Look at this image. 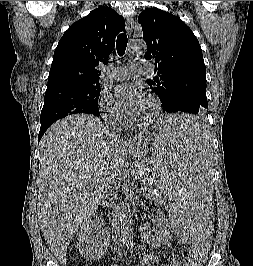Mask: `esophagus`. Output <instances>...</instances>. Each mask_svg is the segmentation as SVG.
Masks as SVG:
<instances>
[{
    "label": "esophagus",
    "instance_id": "1",
    "mask_svg": "<svg viewBox=\"0 0 253 266\" xmlns=\"http://www.w3.org/2000/svg\"><path fill=\"white\" fill-rule=\"evenodd\" d=\"M134 28V20L132 17H128L126 20V30L129 36H131ZM133 141V137H127L126 138V143L130 144Z\"/></svg>",
    "mask_w": 253,
    "mask_h": 266
}]
</instances>
